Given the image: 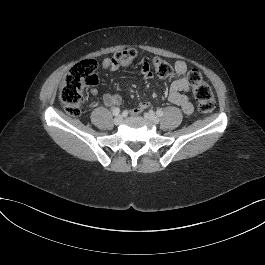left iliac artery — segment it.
Wrapping results in <instances>:
<instances>
[{
  "label": "left iliac artery",
  "instance_id": "1",
  "mask_svg": "<svg viewBox=\"0 0 265 265\" xmlns=\"http://www.w3.org/2000/svg\"><path fill=\"white\" fill-rule=\"evenodd\" d=\"M156 114L161 117V116H163V111L161 109H159L156 111Z\"/></svg>",
  "mask_w": 265,
  "mask_h": 265
}]
</instances>
